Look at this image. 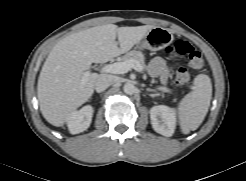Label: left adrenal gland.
<instances>
[{
    "mask_svg": "<svg viewBox=\"0 0 246 181\" xmlns=\"http://www.w3.org/2000/svg\"><path fill=\"white\" fill-rule=\"evenodd\" d=\"M146 90H147L148 92H155L154 89H150V88H147Z\"/></svg>",
    "mask_w": 246,
    "mask_h": 181,
    "instance_id": "a2214340",
    "label": "left adrenal gland"
}]
</instances>
